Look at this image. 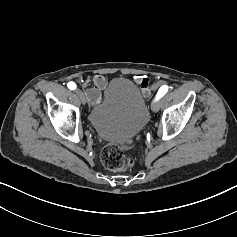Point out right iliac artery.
Returning a JSON list of instances; mask_svg holds the SVG:
<instances>
[{
  "mask_svg": "<svg viewBox=\"0 0 237 237\" xmlns=\"http://www.w3.org/2000/svg\"><path fill=\"white\" fill-rule=\"evenodd\" d=\"M67 86H68V88H69L70 90H75L76 87H77L74 82H69V83L67 84Z\"/></svg>",
  "mask_w": 237,
  "mask_h": 237,
  "instance_id": "1",
  "label": "right iliac artery"
}]
</instances>
